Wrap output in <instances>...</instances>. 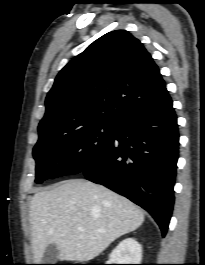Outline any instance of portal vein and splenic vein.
<instances>
[{"mask_svg": "<svg viewBox=\"0 0 205 265\" xmlns=\"http://www.w3.org/2000/svg\"><path fill=\"white\" fill-rule=\"evenodd\" d=\"M78 231H83V227H78Z\"/></svg>", "mask_w": 205, "mask_h": 265, "instance_id": "portal-vein-and-splenic-vein-1", "label": "portal vein and splenic vein"}]
</instances>
